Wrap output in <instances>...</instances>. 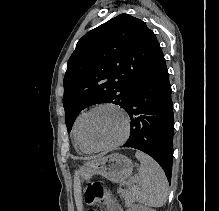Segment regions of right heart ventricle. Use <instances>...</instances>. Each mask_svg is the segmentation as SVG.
I'll return each mask as SVG.
<instances>
[{
	"mask_svg": "<svg viewBox=\"0 0 219 211\" xmlns=\"http://www.w3.org/2000/svg\"><path fill=\"white\" fill-rule=\"evenodd\" d=\"M82 115L83 114H80L74 122L73 129H72V136H73V140H74L76 147H78L79 149H81L84 152L90 153V152H92V150L85 147L79 139L78 128H79V122H80Z\"/></svg>",
	"mask_w": 219,
	"mask_h": 211,
	"instance_id": "1",
	"label": "right heart ventricle"
}]
</instances>
